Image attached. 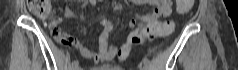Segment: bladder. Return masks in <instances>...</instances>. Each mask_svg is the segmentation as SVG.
I'll return each instance as SVG.
<instances>
[{"label":"bladder","mask_w":238,"mask_h":70,"mask_svg":"<svg viewBox=\"0 0 238 70\" xmlns=\"http://www.w3.org/2000/svg\"><path fill=\"white\" fill-rule=\"evenodd\" d=\"M91 70H123V69L119 67H97L92 68Z\"/></svg>","instance_id":"31cf9c89"}]
</instances>
